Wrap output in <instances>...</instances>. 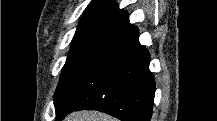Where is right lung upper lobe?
Instances as JSON below:
<instances>
[{
  "label": "right lung upper lobe",
  "instance_id": "cb5924a9",
  "mask_svg": "<svg viewBox=\"0 0 217 121\" xmlns=\"http://www.w3.org/2000/svg\"><path fill=\"white\" fill-rule=\"evenodd\" d=\"M117 22L129 24L127 13L111 0H92L84 11L78 27L99 23Z\"/></svg>",
  "mask_w": 217,
  "mask_h": 121
}]
</instances>
